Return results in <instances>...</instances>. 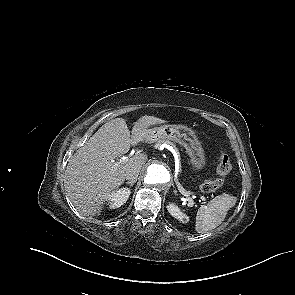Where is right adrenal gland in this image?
Here are the masks:
<instances>
[{"instance_id":"2a0ac1e0","label":"right adrenal gland","mask_w":295,"mask_h":295,"mask_svg":"<svg viewBox=\"0 0 295 295\" xmlns=\"http://www.w3.org/2000/svg\"><path fill=\"white\" fill-rule=\"evenodd\" d=\"M134 183H136V181H127L126 184L130 185L131 187L134 185Z\"/></svg>"}]
</instances>
